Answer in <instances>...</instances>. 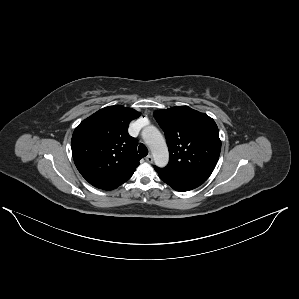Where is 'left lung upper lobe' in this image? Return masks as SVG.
Returning a JSON list of instances; mask_svg holds the SVG:
<instances>
[{
  "label": "left lung upper lobe",
  "mask_w": 299,
  "mask_h": 299,
  "mask_svg": "<svg viewBox=\"0 0 299 299\" xmlns=\"http://www.w3.org/2000/svg\"><path fill=\"white\" fill-rule=\"evenodd\" d=\"M165 132L169 163L156 172L175 180L206 181L213 172L221 151L219 131L208 115L188 106L154 112Z\"/></svg>",
  "instance_id": "5c2ea615"
}]
</instances>
